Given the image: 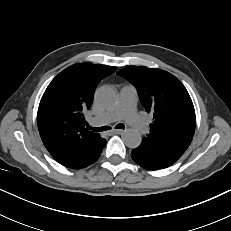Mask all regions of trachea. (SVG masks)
<instances>
[{
  "label": "trachea",
  "instance_id": "trachea-1",
  "mask_svg": "<svg viewBox=\"0 0 231 231\" xmlns=\"http://www.w3.org/2000/svg\"><path fill=\"white\" fill-rule=\"evenodd\" d=\"M87 128H88L89 130L94 131V132H102V131H107V130H110V129H111L110 126H102V127L95 128V127H91V126H89V125L87 126ZM115 128H116V129H125V126H124V124L119 123V124H117V125L115 126Z\"/></svg>",
  "mask_w": 231,
  "mask_h": 231
}]
</instances>
